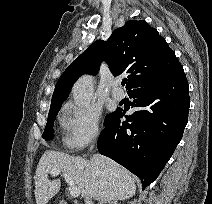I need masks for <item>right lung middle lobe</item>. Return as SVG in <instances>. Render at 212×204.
Returning <instances> with one entry per match:
<instances>
[{"mask_svg": "<svg viewBox=\"0 0 212 204\" xmlns=\"http://www.w3.org/2000/svg\"><path fill=\"white\" fill-rule=\"evenodd\" d=\"M61 108V105H54V106H51L50 107V112H49V115H48V121H47V124H46V127H45V130H44V133L42 135V137L45 139V140H51L53 138V120L54 118L56 117L58 111L60 110ZM113 115L110 114L107 116L106 120H105V123L111 118V116Z\"/></svg>", "mask_w": 212, "mask_h": 204, "instance_id": "1", "label": "right lung middle lobe"}]
</instances>
